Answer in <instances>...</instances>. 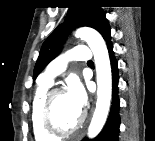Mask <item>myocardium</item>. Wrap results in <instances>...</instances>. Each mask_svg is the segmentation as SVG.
I'll return each instance as SVG.
<instances>
[{
    "mask_svg": "<svg viewBox=\"0 0 155 141\" xmlns=\"http://www.w3.org/2000/svg\"><path fill=\"white\" fill-rule=\"evenodd\" d=\"M62 93H65V91L61 88H52L48 90L43 98L41 105V112H40L41 125L46 132L55 137L72 135L77 131H79L80 129H82L85 124L84 115H81L78 123L70 129H63L54 122L52 118L53 100L57 95Z\"/></svg>",
    "mask_w": 155,
    "mask_h": 141,
    "instance_id": "obj_1",
    "label": "myocardium"
}]
</instances>
